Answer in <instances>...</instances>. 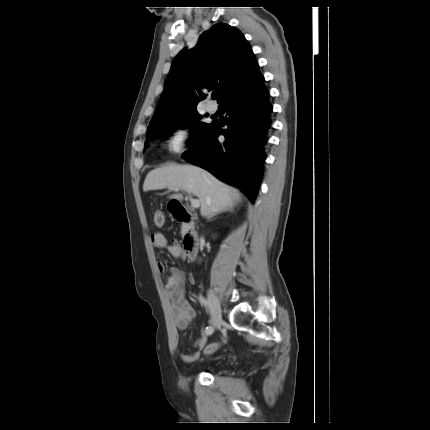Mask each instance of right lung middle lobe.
<instances>
[{
    "instance_id": "dd1d6c3e",
    "label": "right lung middle lobe",
    "mask_w": 430,
    "mask_h": 430,
    "mask_svg": "<svg viewBox=\"0 0 430 430\" xmlns=\"http://www.w3.org/2000/svg\"><path fill=\"white\" fill-rule=\"evenodd\" d=\"M201 118L202 116L197 112L196 109H191L177 114L167 120L159 122L152 127H149L147 130V140L145 142V146L147 147V142L151 139L160 136L171 135L175 129H186L193 127L189 143V147L191 148L186 151V153H191L204 142L215 124V121H213L211 124L197 122Z\"/></svg>"
}]
</instances>
